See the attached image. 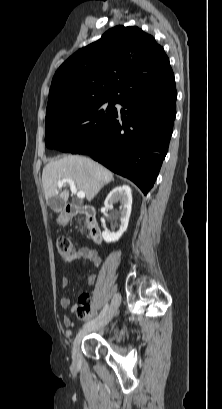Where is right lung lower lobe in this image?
I'll use <instances>...</instances> for the list:
<instances>
[{"label":"right lung lower lobe","mask_w":222,"mask_h":409,"mask_svg":"<svg viewBox=\"0 0 222 409\" xmlns=\"http://www.w3.org/2000/svg\"><path fill=\"white\" fill-rule=\"evenodd\" d=\"M160 77L167 88L120 102L127 110L117 111L103 143L84 153L133 181L145 195L167 154L176 116L174 74Z\"/></svg>","instance_id":"98d812e1"}]
</instances>
